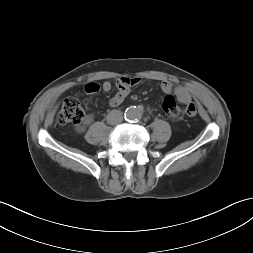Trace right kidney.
<instances>
[{
    "label": "right kidney",
    "mask_w": 253,
    "mask_h": 253,
    "mask_svg": "<svg viewBox=\"0 0 253 253\" xmlns=\"http://www.w3.org/2000/svg\"><path fill=\"white\" fill-rule=\"evenodd\" d=\"M92 120H93L92 116L88 117V118L85 120V125H86V124H89ZM84 130H85V126H82V127H79V128H78V131H79V132H83Z\"/></svg>",
    "instance_id": "right-kidney-1"
}]
</instances>
